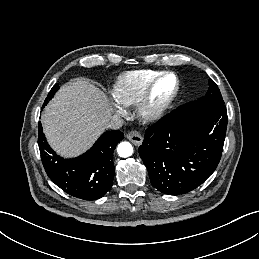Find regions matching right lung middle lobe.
<instances>
[{
  "mask_svg": "<svg viewBox=\"0 0 259 259\" xmlns=\"http://www.w3.org/2000/svg\"><path fill=\"white\" fill-rule=\"evenodd\" d=\"M58 89H59L58 84H55V85L52 87V89L50 90V92H49V94H48V96H47V98H46V100H45V102H44V105L47 104L48 101L53 98L55 92H56Z\"/></svg>",
  "mask_w": 259,
  "mask_h": 259,
  "instance_id": "1",
  "label": "right lung middle lobe"
}]
</instances>
